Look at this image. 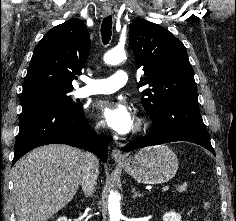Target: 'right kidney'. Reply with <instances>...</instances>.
<instances>
[{"instance_id":"obj_1","label":"right kidney","mask_w":236,"mask_h":221,"mask_svg":"<svg viewBox=\"0 0 236 221\" xmlns=\"http://www.w3.org/2000/svg\"><path fill=\"white\" fill-rule=\"evenodd\" d=\"M57 221H67V218L63 216V217H60Z\"/></svg>"}]
</instances>
